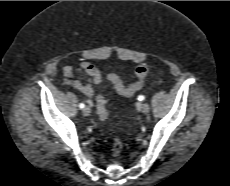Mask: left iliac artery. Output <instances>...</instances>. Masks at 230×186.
I'll list each match as a JSON object with an SVG mask.
<instances>
[{
	"mask_svg": "<svg viewBox=\"0 0 230 186\" xmlns=\"http://www.w3.org/2000/svg\"><path fill=\"white\" fill-rule=\"evenodd\" d=\"M144 99H145L144 96H142V95L138 96V100H139V101H143Z\"/></svg>",
	"mask_w": 230,
	"mask_h": 186,
	"instance_id": "obj_1",
	"label": "left iliac artery"
}]
</instances>
